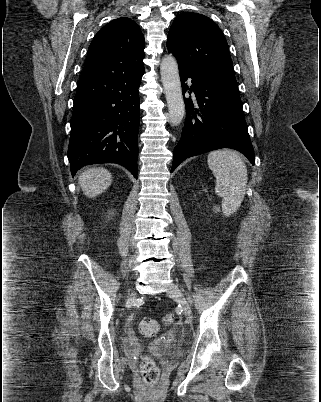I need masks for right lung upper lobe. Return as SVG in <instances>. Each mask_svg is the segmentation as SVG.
<instances>
[{
  "label": "right lung upper lobe",
  "mask_w": 321,
  "mask_h": 402,
  "mask_svg": "<svg viewBox=\"0 0 321 402\" xmlns=\"http://www.w3.org/2000/svg\"><path fill=\"white\" fill-rule=\"evenodd\" d=\"M144 36L136 22L122 17L104 26L89 46L81 79L144 70Z\"/></svg>",
  "instance_id": "1"
}]
</instances>
